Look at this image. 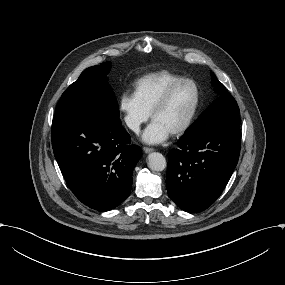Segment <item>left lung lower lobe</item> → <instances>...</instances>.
Segmentation results:
<instances>
[{
    "mask_svg": "<svg viewBox=\"0 0 285 285\" xmlns=\"http://www.w3.org/2000/svg\"><path fill=\"white\" fill-rule=\"evenodd\" d=\"M239 113L215 117L184 135L168 154L166 185L181 209L201 212L221 195L241 147Z\"/></svg>",
    "mask_w": 285,
    "mask_h": 285,
    "instance_id": "1",
    "label": "left lung lower lobe"
}]
</instances>
